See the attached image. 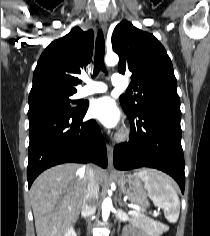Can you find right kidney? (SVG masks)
Listing matches in <instances>:
<instances>
[{"label": "right kidney", "mask_w": 210, "mask_h": 236, "mask_svg": "<svg viewBox=\"0 0 210 236\" xmlns=\"http://www.w3.org/2000/svg\"><path fill=\"white\" fill-rule=\"evenodd\" d=\"M64 236H77V234H76L74 228L70 227V228L67 229Z\"/></svg>", "instance_id": "right-kidney-1"}]
</instances>
